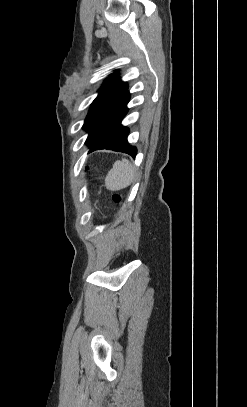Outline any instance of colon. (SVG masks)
<instances>
[{
  "mask_svg": "<svg viewBox=\"0 0 247 407\" xmlns=\"http://www.w3.org/2000/svg\"><path fill=\"white\" fill-rule=\"evenodd\" d=\"M112 199L114 202L122 204V196L120 194L118 193L113 194Z\"/></svg>",
  "mask_w": 247,
  "mask_h": 407,
  "instance_id": "obj_1",
  "label": "colon"
}]
</instances>
